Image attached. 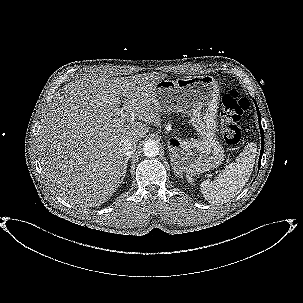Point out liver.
I'll return each instance as SVG.
<instances>
[{"mask_svg":"<svg viewBox=\"0 0 303 303\" xmlns=\"http://www.w3.org/2000/svg\"><path fill=\"white\" fill-rule=\"evenodd\" d=\"M164 78L157 73L130 78L94 74L55 94L43 115L37 147L44 177L63 200L86 208L113 195L124 168L122 139L136 143L148 133L147 123L161 126L154 90ZM123 110L138 121L124 124L119 118Z\"/></svg>","mask_w":303,"mask_h":303,"instance_id":"obj_1","label":"liver"}]
</instances>
